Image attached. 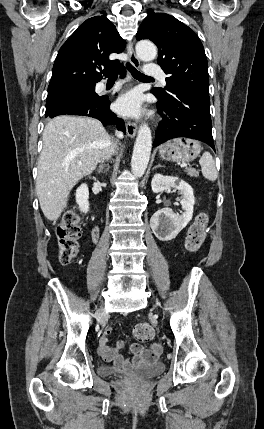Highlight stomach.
Wrapping results in <instances>:
<instances>
[{
	"instance_id": "1",
	"label": "stomach",
	"mask_w": 264,
	"mask_h": 429,
	"mask_svg": "<svg viewBox=\"0 0 264 429\" xmlns=\"http://www.w3.org/2000/svg\"><path fill=\"white\" fill-rule=\"evenodd\" d=\"M201 151V145L197 140L190 138H175L165 142L159 147V156L166 161L190 162Z\"/></svg>"
}]
</instances>
